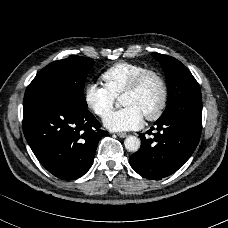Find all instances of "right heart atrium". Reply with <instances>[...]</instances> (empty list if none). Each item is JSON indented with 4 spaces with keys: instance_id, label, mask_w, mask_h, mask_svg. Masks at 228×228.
Segmentation results:
<instances>
[{
    "instance_id": "obj_1",
    "label": "right heart atrium",
    "mask_w": 228,
    "mask_h": 228,
    "mask_svg": "<svg viewBox=\"0 0 228 228\" xmlns=\"http://www.w3.org/2000/svg\"><path fill=\"white\" fill-rule=\"evenodd\" d=\"M84 101L90 110L97 116L102 117L112 109L115 103V97L105 85L91 81L85 86Z\"/></svg>"
}]
</instances>
